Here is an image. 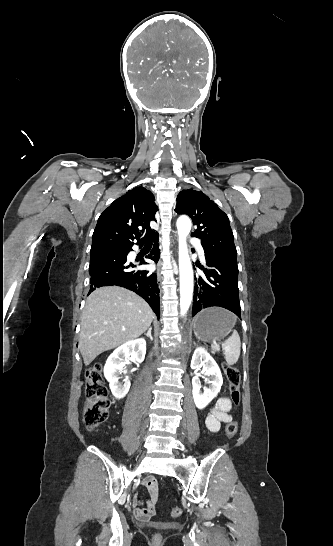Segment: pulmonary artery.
I'll return each instance as SVG.
<instances>
[{"instance_id": "e3ab8cb5", "label": "pulmonary artery", "mask_w": 333, "mask_h": 546, "mask_svg": "<svg viewBox=\"0 0 333 546\" xmlns=\"http://www.w3.org/2000/svg\"><path fill=\"white\" fill-rule=\"evenodd\" d=\"M192 242L196 245V248H197V251H198V254L200 255V257L202 259H204V250L199 242V240L197 239H192Z\"/></svg>"}]
</instances>
